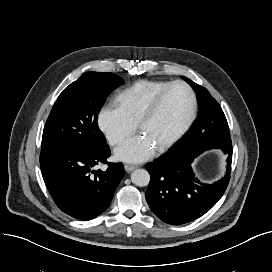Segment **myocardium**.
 <instances>
[{"instance_id": "obj_1", "label": "myocardium", "mask_w": 272, "mask_h": 272, "mask_svg": "<svg viewBox=\"0 0 272 272\" xmlns=\"http://www.w3.org/2000/svg\"><path fill=\"white\" fill-rule=\"evenodd\" d=\"M177 86L183 87L189 95V99H190L189 112H188V115H187L184 123L176 131V133L171 138H169L166 142H164L159 147H157V150L159 152H163V151L169 149L170 147H172L176 142H178L182 138V136L188 131V129L192 125V123L195 119L196 110H197V98H196V95H195L193 89L187 83H185L183 81L171 82L152 99V101L147 106V108L144 110L143 114L141 115V117L137 123V128L140 130L141 127L156 114V112L158 111L159 107L161 106L167 93L172 88L177 87Z\"/></svg>"}]
</instances>
